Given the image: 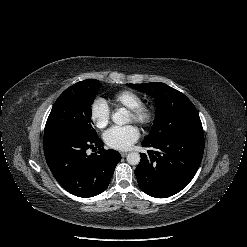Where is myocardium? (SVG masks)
Returning <instances> with one entry per match:
<instances>
[{
	"mask_svg": "<svg viewBox=\"0 0 247 247\" xmlns=\"http://www.w3.org/2000/svg\"><path fill=\"white\" fill-rule=\"evenodd\" d=\"M133 121L141 126H148L152 123L154 118L153 108L145 103H140L139 105L129 109Z\"/></svg>",
	"mask_w": 247,
	"mask_h": 247,
	"instance_id": "obj_1",
	"label": "myocardium"
}]
</instances>
